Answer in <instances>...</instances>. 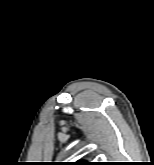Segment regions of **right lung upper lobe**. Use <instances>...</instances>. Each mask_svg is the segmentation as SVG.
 <instances>
[{
	"label": "right lung upper lobe",
	"instance_id": "obj_1",
	"mask_svg": "<svg viewBox=\"0 0 154 165\" xmlns=\"http://www.w3.org/2000/svg\"><path fill=\"white\" fill-rule=\"evenodd\" d=\"M74 165H92V163L87 161H77Z\"/></svg>",
	"mask_w": 154,
	"mask_h": 165
}]
</instances>
